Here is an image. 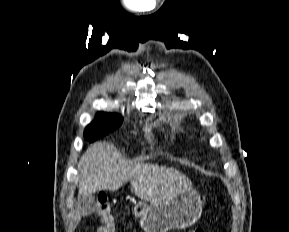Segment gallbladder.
Instances as JSON below:
<instances>
[{"mask_svg": "<svg viewBox=\"0 0 289 232\" xmlns=\"http://www.w3.org/2000/svg\"><path fill=\"white\" fill-rule=\"evenodd\" d=\"M79 203L81 204L82 212H86L87 214H91L95 210V199L93 196L89 197H81L79 199Z\"/></svg>", "mask_w": 289, "mask_h": 232, "instance_id": "obj_1", "label": "gallbladder"}]
</instances>
